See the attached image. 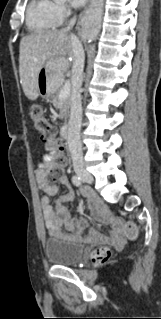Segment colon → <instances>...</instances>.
Listing matches in <instances>:
<instances>
[{"mask_svg":"<svg viewBox=\"0 0 161 319\" xmlns=\"http://www.w3.org/2000/svg\"><path fill=\"white\" fill-rule=\"evenodd\" d=\"M30 117L34 123L35 128L39 131L43 138H45L49 146L59 147L61 142L56 137L55 126L43 117V110L40 106H32L29 110ZM67 159L61 154L51 157V163L47 168V172L50 178L59 179L65 175V167ZM127 234L129 236L136 235V227L132 223L126 225ZM112 257V251L110 248L102 246L94 250L92 254V262L95 265H103L109 262Z\"/></svg>","mask_w":161,"mask_h":319,"instance_id":"1","label":"colon"}]
</instances>
